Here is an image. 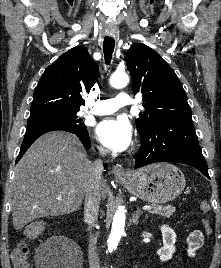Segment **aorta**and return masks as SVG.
Returning a JSON list of instances; mask_svg holds the SVG:
<instances>
[{"mask_svg": "<svg viewBox=\"0 0 221 268\" xmlns=\"http://www.w3.org/2000/svg\"><path fill=\"white\" fill-rule=\"evenodd\" d=\"M129 83V77L126 73H114L110 77V85L113 88H123ZM125 211L122 207H119L115 212L112 231L108 239V251L112 252L119 244L122 234L124 233L125 227Z\"/></svg>", "mask_w": 221, "mask_h": 268, "instance_id": "aorta-1", "label": "aorta"}]
</instances>
